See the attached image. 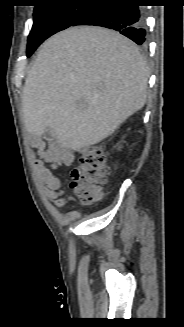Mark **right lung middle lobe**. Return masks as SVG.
Listing matches in <instances>:
<instances>
[{
    "instance_id": "right-lung-middle-lobe-1",
    "label": "right lung middle lobe",
    "mask_w": 184,
    "mask_h": 327,
    "mask_svg": "<svg viewBox=\"0 0 184 327\" xmlns=\"http://www.w3.org/2000/svg\"><path fill=\"white\" fill-rule=\"evenodd\" d=\"M77 1L81 0H54L35 7L33 26L27 44L28 57L45 39L72 26L90 7L89 4H77Z\"/></svg>"
}]
</instances>
